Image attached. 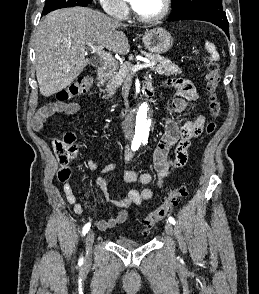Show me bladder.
I'll return each instance as SVG.
<instances>
[{
	"instance_id": "obj_1",
	"label": "bladder",
	"mask_w": 259,
	"mask_h": 294,
	"mask_svg": "<svg viewBox=\"0 0 259 294\" xmlns=\"http://www.w3.org/2000/svg\"><path fill=\"white\" fill-rule=\"evenodd\" d=\"M116 244L125 248H136L139 247L142 243L133 241L123 236H119L116 238Z\"/></svg>"
}]
</instances>
